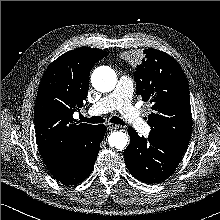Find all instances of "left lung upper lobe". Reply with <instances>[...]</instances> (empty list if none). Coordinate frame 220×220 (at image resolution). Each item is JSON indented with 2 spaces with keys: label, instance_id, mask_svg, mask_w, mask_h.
Masks as SVG:
<instances>
[{
  "label": "left lung upper lobe",
  "instance_id": "5c2ea615",
  "mask_svg": "<svg viewBox=\"0 0 220 220\" xmlns=\"http://www.w3.org/2000/svg\"><path fill=\"white\" fill-rule=\"evenodd\" d=\"M134 77L137 95L153 103L150 133L187 146L192 133L188 83L180 65L163 51L148 48Z\"/></svg>",
  "mask_w": 220,
  "mask_h": 220
}]
</instances>
